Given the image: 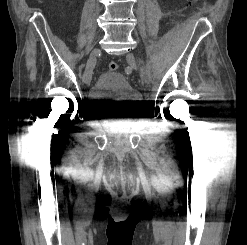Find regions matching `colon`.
Masks as SVG:
<instances>
[{"label": "colon", "instance_id": "1", "mask_svg": "<svg viewBox=\"0 0 247 245\" xmlns=\"http://www.w3.org/2000/svg\"><path fill=\"white\" fill-rule=\"evenodd\" d=\"M191 1L192 0H188V2H191ZM118 67H119L118 64L114 61H112L108 64V68L110 71H116L118 69Z\"/></svg>", "mask_w": 247, "mask_h": 245}]
</instances>
